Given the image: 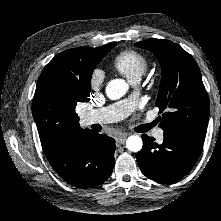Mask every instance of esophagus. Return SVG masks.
<instances>
[{"label":"esophagus","mask_w":221,"mask_h":221,"mask_svg":"<svg viewBox=\"0 0 221 221\" xmlns=\"http://www.w3.org/2000/svg\"><path fill=\"white\" fill-rule=\"evenodd\" d=\"M126 137H127V134L126 133H119L117 136H116V144L117 145H122L125 143L126 141Z\"/></svg>","instance_id":"esophagus-1"}]
</instances>
